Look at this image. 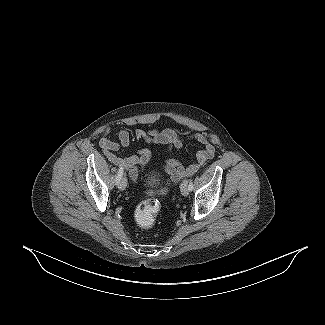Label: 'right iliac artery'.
Listing matches in <instances>:
<instances>
[{
	"mask_svg": "<svg viewBox=\"0 0 325 325\" xmlns=\"http://www.w3.org/2000/svg\"><path fill=\"white\" fill-rule=\"evenodd\" d=\"M122 176H123V168L120 167L119 170H118V173H117V177H116V183H117V184H118L119 181L121 180Z\"/></svg>",
	"mask_w": 325,
	"mask_h": 325,
	"instance_id": "obj_1",
	"label": "right iliac artery"
}]
</instances>
